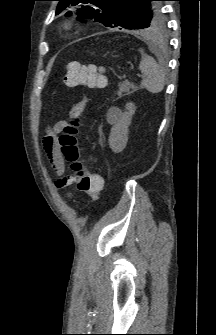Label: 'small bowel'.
<instances>
[{"instance_id": "c3829d8e", "label": "small bowel", "mask_w": 216, "mask_h": 335, "mask_svg": "<svg viewBox=\"0 0 216 335\" xmlns=\"http://www.w3.org/2000/svg\"><path fill=\"white\" fill-rule=\"evenodd\" d=\"M85 107L86 100L79 102L71 109L70 117L80 116L83 113ZM66 124V121H59L56 123L43 140V147L47 158L58 175H62L64 173L65 164L59 150L57 134L66 126ZM74 181L75 179L72 177L60 178L57 180L56 185L58 188H64L70 186L72 183H74ZM68 196L71 197V193H68Z\"/></svg>"}]
</instances>
